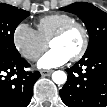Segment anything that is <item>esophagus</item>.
Here are the masks:
<instances>
[{"label": "esophagus", "mask_w": 107, "mask_h": 107, "mask_svg": "<svg viewBox=\"0 0 107 107\" xmlns=\"http://www.w3.org/2000/svg\"><path fill=\"white\" fill-rule=\"evenodd\" d=\"M53 70H42L41 75L42 76H50L52 74Z\"/></svg>", "instance_id": "34e87169"}]
</instances>
